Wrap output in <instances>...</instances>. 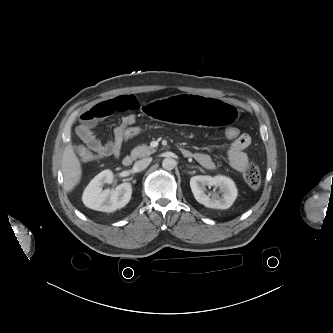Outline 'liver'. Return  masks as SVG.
<instances>
[{
    "label": "liver",
    "instance_id": "1",
    "mask_svg": "<svg viewBox=\"0 0 333 333\" xmlns=\"http://www.w3.org/2000/svg\"><path fill=\"white\" fill-rule=\"evenodd\" d=\"M62 172L64 177V187L71 191L80 182L82 169L81 163L76 156L71 144H68L63 151Z\"/></svg>",
    "mask_w": 333,
    "mask_h": 333
}]
</instances>
